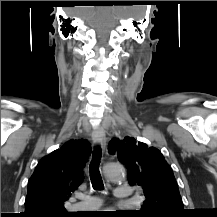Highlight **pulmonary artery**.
<instances>
[{
  "mask_svg": "<svg viewBox=\"0 0 217 217\" xmlns=\"http://www.w3.org/2000/svg\"><path fill=\"white\" fill-rule=\"evenodd\" d=\"M131 195V189L127 186H119L114 190V196L117 199H128ZM84 200L83 202H79L76 205H74V208L79 210H91V209H97L101 206L102 202L94 196L86 195L82 197Z\"/></svg>",
  "mask_w": 217,
  "mask_h": 217,
  "instance_id": "e3ab8cb5",
  "label": "pulmonary artery"
}]
</instances>
